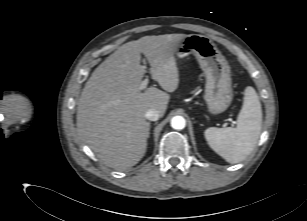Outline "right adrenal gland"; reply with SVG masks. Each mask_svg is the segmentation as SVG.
<instances>
[{
  "mask_svg": "<svg viewBox=\"0 0 307 221\" xmlns=\"http://www.w3.org/2000/svg\"><path fill=\"white\" fill-rule=\"evenodd\" d=\"M150 137V123H148V136H147V138H149Z\"/></svg>",
  "mask_w": 307,
  "mask_h": 221,
  "instance_id": "1",
  "label": "right adrenal gland"
}]
</instances>
